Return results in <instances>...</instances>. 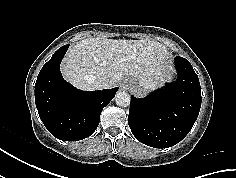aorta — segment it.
Here are the masks:
<instances>
[{
  "mask_svg": "<svg viewBox=\"0 0 236 178\" xmlns=\"http://www.w3.org/2000/svg\"><path fill=\"white\" fill-rule=\"evenodd\" d=\"M130 95L125 91H119L115 95V103L120 107H127L130 105Z\"/></svg>",
  "mask_w": 236,
  "mask_h": 178,
  "instance_id": "aorta-1",
  "label": "aorta"
}]
</instances>
